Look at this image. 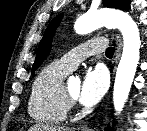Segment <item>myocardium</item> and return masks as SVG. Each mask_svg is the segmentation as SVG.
Listing matches in <instances>:
<instances>
[{"label":"myocardium","mask_w":147,"mask_h":131,"mask_svg":"<svg viewBox=\"0 0 147 131\" xmlns=\"http://www.w3.org/2000/svg\"><path fill=\"white\" fill-rule=\"evenodd\" d=\"M63 95L69 108L75 106L76 98L70 94L65 83H63Z\"/></svg>","instance_id":"f54148a6"}]
</instances>
